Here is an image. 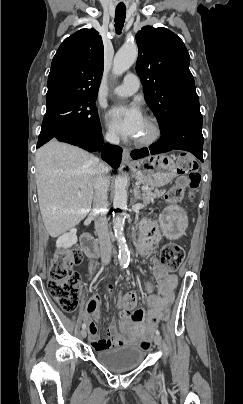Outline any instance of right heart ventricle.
Masks as SVG:
<instances>
[{
	"instance_id": "1",
	"label": "right heart ventricle",
	"mask_w": 243,
	"mask_h": 404,
	"mask_svg": "<svg viewBox=\"0 0 243 404\" xmlns=\"http://www.w3.org/2000/svg\"><path fill=\"white\" fill-rule=\"evenodd\" d=\"M132 44H133L132 42H130V44H126V45H125V48L132 46Z\"/></svg>"
}]
</instances>
